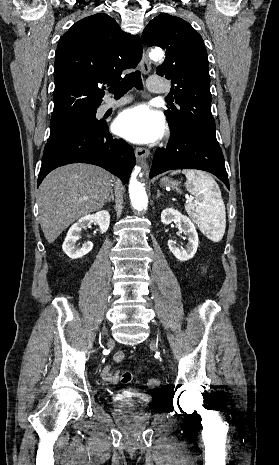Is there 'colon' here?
<instances>
[{
    "label": "colon",
    "instance_id": "colon-1",
    "mask_svg": "<svg viewBox=\"0 0 279 465\" xmlns=\"http://www.w3.org/2000/svg\"><path fill=\"white\" fill-rule=\"evenodd\" d=\"M120 379H121V382L124 383V384H131V383H135L136 382V379L135 377L133 376V374L128 371V370H125L121 373V376H120ZM146 384L147 386L149 387H157L159 386L160 384V381L159 379L157 378H150L146 381Z\"/></svg>",
    "mask_w": 279,
    "mask_h": 465
}]
</instances>
